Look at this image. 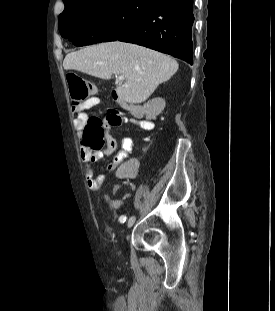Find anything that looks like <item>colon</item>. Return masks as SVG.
<instances>
[{
    "label": "colon",
    "mask_w": 275,
    "mask_h": 311,
    "mask_svg": "<svg viewBox=\"0 0 275 311\" xmlns=\"http://www.w3.org/2000/svg\"><path fill=\"white\" fill-rule=\"evenodd\" d=\"M67 82L71 91V102L74 106L84 104H99L100 98L93 97L95 89L93 85L77 74L69 73ZM123 122L122 116L116 111L109 109L105 115L107 125L116 126ZM84 138L86 142L95 150L101 151L107 146L105 124L96 117H88L84 126Z\"/></svg>",
    "instance_id": "1"
}]
</instances>
